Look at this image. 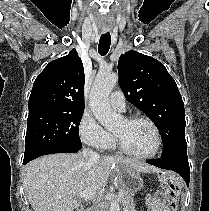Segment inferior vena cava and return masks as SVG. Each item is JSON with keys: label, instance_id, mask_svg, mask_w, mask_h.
<instances>
[{"label": "inferior vena cava", "instance_id": "inferior-vena-cava-1", "mask_svg": "<svg viewBox=\"0 0 209 211\" xmlns=\"http://www.w3.org/2000/svg\"><path fill=\"white\" fill-rule=\"evenodd\" d=\"M82 157L84 160L94 162L99 159V154L89 148H84L82 151Z\"/></svg>", "mask_w": 209, "mask_h": 211}]
</instances>
